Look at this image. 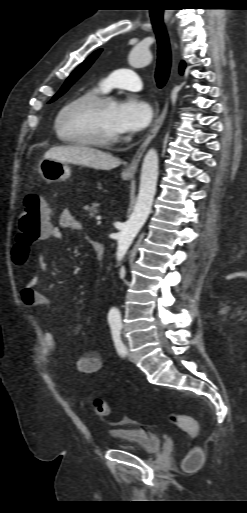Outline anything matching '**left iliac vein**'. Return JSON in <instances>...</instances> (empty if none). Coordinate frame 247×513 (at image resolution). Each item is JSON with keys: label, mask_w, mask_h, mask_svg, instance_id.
<instances>
[{"label": "left iliac vein", "mask_w": 247, "mask_h": 513, "mask_svg": "<svg viewBox=\"0 0 247 513\" xmlns=\"http://www.w3.org/2000/svg\"><path fill=\"white\" fill-rule=\"evenodd\" d=\"M126 349H127V355H128L129 360L131 362H135V359H134L132 353L128 350V347H126Z\"/></svg>", "instance_id": "1"}]
</instances>
